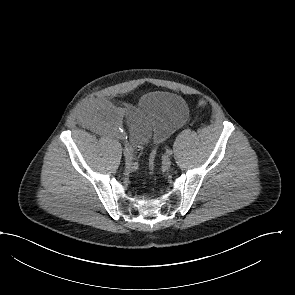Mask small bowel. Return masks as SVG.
I'll use <instances>...</instances> for the list:
<instances>
[{
    "instance_id": "c3829d8e",
    "label": "small bowel",
    "mask_w": 295,
    "mask_h": 295,
    "mask_svg": "<svg viewBox=\"0 0 295 295\" xmlns=\"http://www.w3.org/2000/svg\"><path fill=\"white\" fill-rule=\"evenodd\" d=\"M124 115L127 119L132 145L137 149L142 148L151 137V125L139 110L124 111L115 108L106 100H96L83 111L82 119L86 124L101 132L113 133L115 120Z\"/></svg>"
}]
</instances>
